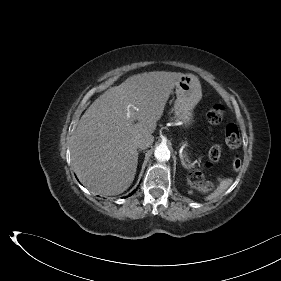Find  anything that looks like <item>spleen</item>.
I'll return each mask as SVG.
<instances>
[{
    "label": "spleen",
    "instance_id": "spleen-1",
    "mask_svg": "<svg viewBox=\"0 0 281 281\" xmlns=\"http://www.w3.org/2000/svg\"><path fill=\"white\" fill-rule=\"evenodd\" d=\"M233 180L231 178L224 179L220 182L219 186L216 188V190L211 193L209 196L206 197V200H213L217 198L219 195L224 193L232 184Z\"/></svg>",
    "mask_w": 281,
    "mask_h": 281
}]
</instances>
